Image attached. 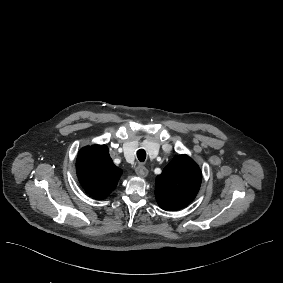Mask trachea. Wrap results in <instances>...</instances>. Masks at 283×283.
<instances>
[{"label":"trachea","instance_id":"obj_1","mask_svg":"<svg viewBox=\"0 0 283 283\" xmlns=\"http://www.w3.org/2000/svg\"><path fill=\"white\" fill-rule=\"evenodd\" d=\"M137 158L140 162H144L146 159V151L144 149H139L137 151Z\"/></svg>","mask_w":283,"mask_h":283}]
</instances>
